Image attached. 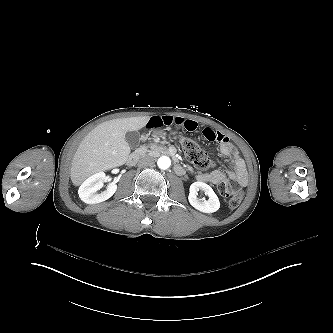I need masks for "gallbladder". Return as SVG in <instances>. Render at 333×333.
Here are the masks:
<instances>
[{"label":"gallbladder","mask_w":333,"mask_h":333,"mask_svg":"<svg viewBox=\"0 0 333 333\" xmlns=\"http://www.w3.org/2000/svg\"><path fill=\"white\" fill-rule=\"evenodd\" d=\"M125 140L131 149H136L140 144L141 135L138 131L127 132L125 134Z\"/></svg>","instance_id":"obj_1"}]
</instances>
